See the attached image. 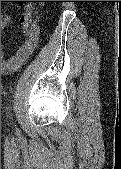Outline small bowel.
I'll return each mask as SVG.
<instances>
[{"mask_svg": "<svg viewBox=\"0 0 121 169\" xmlns=\"http://www.w3.org/2000/svg\"><path fill=\"white\" fill-rule=\"evenodd\" d=\"M34 10L28 7L20 18V23L23 28L22 42L15 54L7 59L2 57L1 72L11 73L16 71L30 56L36 47L39 40L38 21L33 17ZM12 16L9 13H4L1 18V28L11 21Z\"/></svg>", "mask_w": 121, "mask_h": 169, "instance_id": "c3829d8e", "label": "small bowel"}]
</instances>
